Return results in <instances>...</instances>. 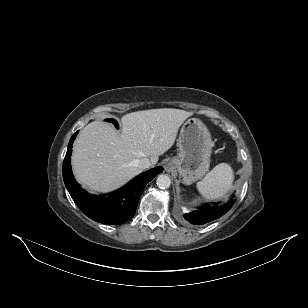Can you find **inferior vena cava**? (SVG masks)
<instances>
[{
  "mask_svg": "<svg viewBox=\"0 0 308 308\" xmlns=\"http://www.w3.org/2000/svg\"><path fill=\"white\" fill-rule=\"evenodd\" d=\"M136 167L140 168L141 170L148 169L151 166V162L148 158H141L136 160Z\"/></svg>",
  "mask_w": 308,
  "mask_h": 308,
  "instance_id": "inferior-vena-cava-1",
  "label": "inferior vena cava"
}]
</instances>
